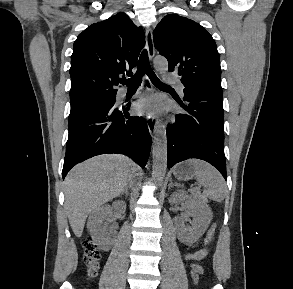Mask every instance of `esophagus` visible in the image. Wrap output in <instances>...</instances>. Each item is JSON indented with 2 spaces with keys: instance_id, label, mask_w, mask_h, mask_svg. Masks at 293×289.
Wrapping results in <instances>:
<instances>
[{
  "instance_id": "1",
  "label": "esophagus",
  "mask_w": 293,
  "mask_h": 289,
  "mask_svg": "<svg viewBox=\"0 0 293 289\" xmlns=\"http://www.w3.org/2000/svg\"><path fill=\"white\" fill-rule=\"evenodd\" d=\"M146 46H147L149 59L152 60L155 55V48H154L153 34H152L151 28L146 29ZM145 86L149 93L155 92V88L148 77H145ZM147 126H148L149 133L153 138L156 132V127H157V118L154 115L147 116Z\"/></svg>"
}]
</instances>
